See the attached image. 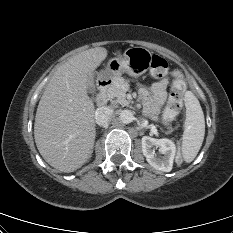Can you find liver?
I'll return each instance as SVG.
<instances>
[{
  "mask_svg": "<svg viewBox=\"0 0 233 233\" xmlns=\"http://www.w3.org/2000/svg\"><path fill=\"white\" fill-rule=\"evenodd\" d=\"M106 57L103 47L71 57L57 68L39 101L35 143L44 160L60 172H73L91 158L95 107L87 88L94 86L95 70Z\"/></svg>",
  "mask_w": 233,
  "mask_h": 233,
  "instance_id": "1",
  "label": "liver"
}]
</instances>
